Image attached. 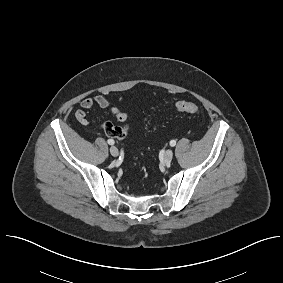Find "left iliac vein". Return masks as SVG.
Returning <instances> with one entry per match:
<instances>
[{
	"label": "left iliac vein",
	"instance_id": "1",
	"mask_svg": "<svg viewBox=\"0 0 283 283\" xmlns=\"http://www.w3.org/2000/svg\"><path fill=\"white\" fill-rule=\"evenodd\" d=\"M173 159V151L172 150H167L164 154V161L165 163L169 164Z\"/></svg>",
	"mask_w": 283,
	"mask_h": 283
}]
</instances>
